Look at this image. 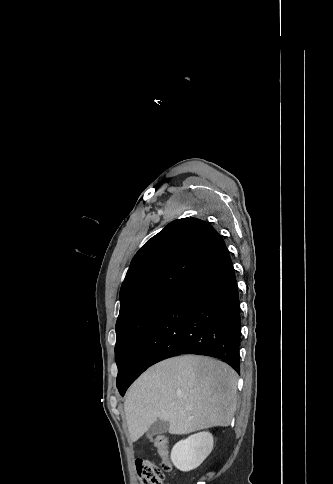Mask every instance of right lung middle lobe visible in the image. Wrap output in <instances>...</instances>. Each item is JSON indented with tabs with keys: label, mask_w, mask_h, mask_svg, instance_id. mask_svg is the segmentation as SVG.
<instances>
[{
	"label": "right lung middle lobe",
	"mask_w": 333,
	"mask_h": 484,
	"mask_svg": "<svg viewBox=\"0 0 333 484\" xmlns=\"http://www.w3.org/2000/svg\"><path fill=\"white\" fill-rule=\"evenodd\" d=\"M174 291H165L134 306L118 317L116 322L117 341L115 357L118 367L117 388L126 386L132 361L143 337Z\"/></svg>",
	"instance_id": "dd1d6c3e"
}]
</instances>
